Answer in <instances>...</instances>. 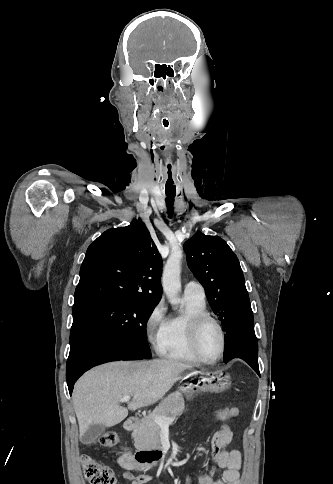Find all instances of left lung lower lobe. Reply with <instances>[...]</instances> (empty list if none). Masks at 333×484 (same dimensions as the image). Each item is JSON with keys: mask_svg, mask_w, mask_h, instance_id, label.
<instances>
[{"mask_svg": "<svg viewBox=\"0 0 333 484\" xmlns=\"http://www.w3.org/2000/svg\"><path fill=\"white\" fill-rule=\"evenodd\" d=\"M233 358L243 359L259 374L258 344L251 306L237 313L226 330L224 362Z\"/></svg>", "mask_w": 333, "mask_h": 484, "instance_id": "left-lung-lower-lobe-1", "label": "left lung lower lobe"}]
</instances>
